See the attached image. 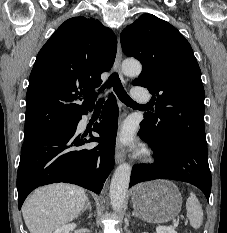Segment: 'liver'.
Returning a JSON list of instances; mask_svg holds the SVG:
<instances>
[{"mask_svg": "<svg viewBox=\"0 0 227 233\" xmlns=\"http://www.w3.org/2000/svg\"><path fill=\"white\" fill-rule=\"evenodd\" d=\"M83 188L52 184L35 190L24 202L22 214L30 233H53L78 217L86 204Z\"/></svg>", "mask_w": 227, "mask_h": 233, "instance_id": "obj_1", "label": "liver"}]
</instances>
